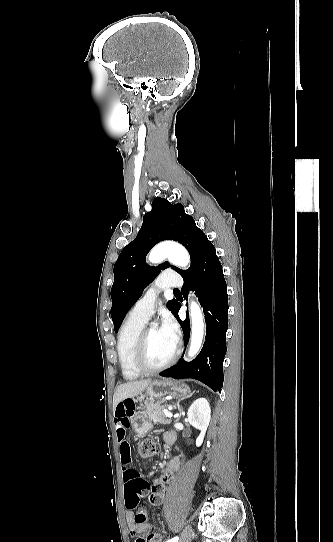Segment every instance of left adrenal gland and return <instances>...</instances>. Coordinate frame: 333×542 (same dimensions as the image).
I'll return each mask as SVG.
<instances>
[{
  "label": "left adrenal gland",
  "instance_id": "obj_1",
  "mask_svg": "<svg viewBox=\"0 0 333 542\" xmlns=\"http://www.w3.org/2000/svg\"><path fill=\"white\" fill-rule=\"evenodd\" d=\"M192 394H194V392H192ZM192 394H190V396H192ZM185 398H189V396H185ZM181 400H184V398H181ZM181 400H178V402H176V404L174 406V408H176V410H178L180 416H181V412H182L181 406H180ZM180 416H178L177 420H180Z\"/></svg>",
  "mask_w": 333,
  "mask_h": 542
}]
</instances>
